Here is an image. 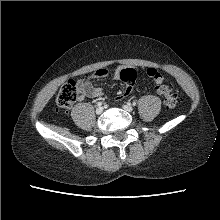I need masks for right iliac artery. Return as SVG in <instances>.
<instances>
[{
    "instance_id": "obj_1",
    "label": "right iliac artery",
    "mask_w": 220,
    "mask_h": 220,
    "mask_svg": "<svg viewBox=\"0 0 220 220\" xmlns=\"http://www.w3.org/2000/svg\"><path fill=\"white\" fill-rule=\"evenodd\" d=\"M97 105H98V106H101V105H102V102H98Z\"/></svg>"
}]
</instances>
